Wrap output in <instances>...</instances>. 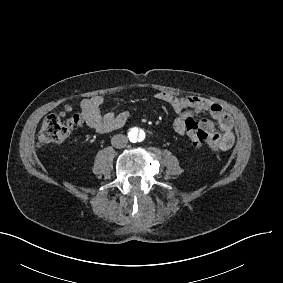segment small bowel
I'll return each mask as SVG.
<instances>
[{
  "mask_svg": "<svg viewBox=\"0 0 283 283\" xmlns=\"http://www.w3.org/2000/svg\"><path fill=\"white\" fill-rule=\"evenodd\" d=\"M153 97L167 103L175 112L173 128L179 135H185L182 123L185 119L207 112L211 119H201L203 126L211 134L207 147L213 151H226L235 143L234 121L232 116L218 103L204 96H176L168 91H158ZM104 102L102 95H94L81 102V111L87 125L98 133H108L123 127L129 119L128 111L101 112Z\"/></svg>",
  "mask_w": 283,
  "mask_h": 283,
  "instance_id": "obj_1",
  "label": "small bowel"
}]
</instances>
